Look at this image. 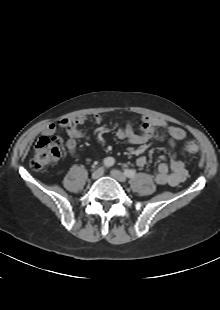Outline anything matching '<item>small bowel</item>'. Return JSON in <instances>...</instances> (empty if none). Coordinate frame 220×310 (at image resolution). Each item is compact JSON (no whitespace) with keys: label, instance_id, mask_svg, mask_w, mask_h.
<instances>
[{"label":"small bowel","instance_id":"c3829d8e","mask_svg":"<svg viewBox=\"0 0 220 310\" xmlns=\"http://www.w3.org/2000/svg\"><path fill=\"white\" fill-rule=\"evenodd\" d=\"M89 117L87 115H78L70 118L61 119L57 124H49L44 128L45 135H53L57 127L64 128L69 136L65 142L66 149L73 157L77 156V139L86 138V132L81 128ZM93 120L96 123L102 122V116L95 114ZM158 128H166L170 136L169 145L172 149L169 163H159L154 175V181L158 185L177 186L187 178V170L184 161L180 159L179 152L176 149L177 142L186 138V132L183 128L176 125H169L165 120L157 117L144 116L136 132L133 126L128 123L122 129H119L116 136L119 140L126 141L134 145H143L152 140ZM138 167H144L147 164L145 156H139L136 160Z\"/></svg>","mask_w":220,"mask_h":310}]
</instances>
